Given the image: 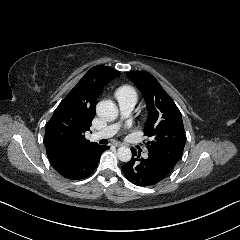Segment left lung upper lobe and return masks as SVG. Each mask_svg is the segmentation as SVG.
I'll use <instances>...</instances> for the list:
<instances>
[{"label":"left lung upper lobe","instance_id":"obj_1","mask_svg":"<svg viewBox=\"0 0 240 240\" xmlns=\"http://www.w3.org/2000/svg\"><path fill=\"white\" fill-rule=\"evenodd\" d=\"M127 76L140 89L148 109L144 133L152 137L148 151L157 153L175 164L182 156L185 131L181 113L172 98L152 75L134 71Z\"/></svg>","mask_w":240,"mask_h":240}]
</instances>
